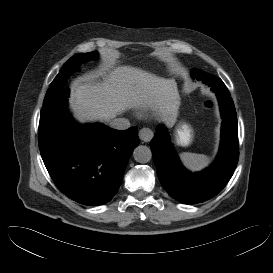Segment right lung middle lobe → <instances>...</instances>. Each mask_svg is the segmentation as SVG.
<instances>
[{"label": "right lung middle lobe", "mask_w": 273, "mask_h": 273, "mask_svg": "<svg viewBox=\"0 0 273 273\" xmlns=\"http://www.w3.org/2000/svg\"><path fill=\"white\" fill-rule=\"evenodd\" d=\"M98 56L97 52L82 53L77 54L70 58L62 67L59 74L55 77L51 83L49 89L44 98V102H48L55 94L60 92L65 88V84L68 78L73 74V72L81 65L84 61H89L95 59Z\"/></svg>", "instance_id": "1"}]
</instances>
